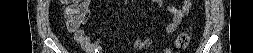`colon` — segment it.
Listing matches in <instances>:
<instances>
[{"label":"colon","mask_w":253,"mask_h":53,"mask_svg":"<svg viewBox=\"0 0 253 53\" xmlns=\"http://www.w3.org/2000/svg\"><path fill=\"white\" fill-rule=\"evenodd\" d=\"M85 2L87 1H73L65 10L67 27L72 32L78 30L88 17V8L85 5ZM191 29L192 28L189 27L187 31L182 32L177 36L174 42V48L185 49L188 46L191 39ZM146 45L145 40H136L134 42L136 48H144Z\"/></svg>","instance_id":"obj_1"}]
</instances>
